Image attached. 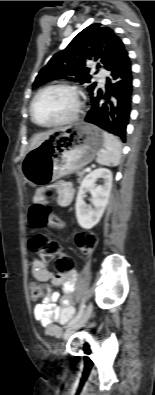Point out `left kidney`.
I'll return each instance as SVG.
<instances>
[{"mask_svg":"<svg viewBox=\"0 0 155 395\" xmlns=\"http://www.w3.org/2000/svg\"><path fill=\"white\" fill-rule=\"evenodd\" d=\"M103 179V185L97 187V179ZM112 172L107 168H98L87 174L81 182L76 198L75 210L78 224L84 229H91L101 219L106 205L108 204L112 188ZM86 192H91V206H87L84 198Z\"/></svg>","mask_w":155,"mask_h":395,"instance_id":"5707ae66","label":"left kidney"}]
</instances>
